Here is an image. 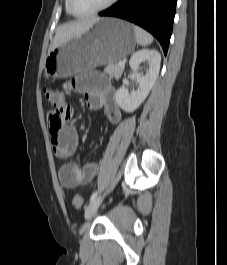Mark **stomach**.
<instances>
[{"label":"stomach","instance_id":"obj_1","mask_svg":"<svg viewBox=\"0 0 227 265\" xmlns=\"http://www.w3.org/2000/svg\"><path fill=\"white\" fill-rule=\"evenodd\" d=\"M136 42L132 24L102 18L82 35L49 51L44 72L53 78H67L99 65L117 63L131 53Z\"/></svg>","mask_w":227,"mask_h":265}]
</instances>
